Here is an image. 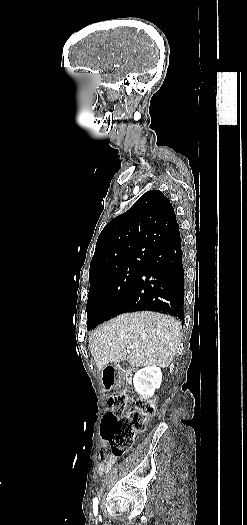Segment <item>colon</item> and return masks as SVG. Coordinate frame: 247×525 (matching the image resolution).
I'll use <instances>...</instances> for the list:
<instances>
[{"label": "colon", "mask_w": 247, "mask_h": 525, "mask_svg": "<svg viewBox=\"0 0 247 525\" xmlns=\"http://www.w3.org/2000/svg\"><path fill=\"white\" fill-rule=\"evenodd\" d=\"M131 394L123 389L109 399L111 411L103 419L99 436L109 442L112 454L121 457L132 446L136 433L141 431L147 418L154 415L153 401H139L131 404Z\"/></svg>", "instance_id": "5ec220e1"}]
</instances>
